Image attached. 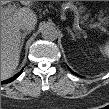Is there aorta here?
<instances>
[{"label":"aorta","mask_w":109,"mask_h":109,"mask_svg":"<svg viewBox=\"0 0 109 109\" xmlns=\"http://www.w3.org/2000/svg\"><path fill=\"white\" fill-rule=\"evenodd\" d=\"M42 37L45 40L54 41L58 37V31L52 24H45L41 29Z\"/></svg>","instance_id":"762f6f07"}]
</instances>
